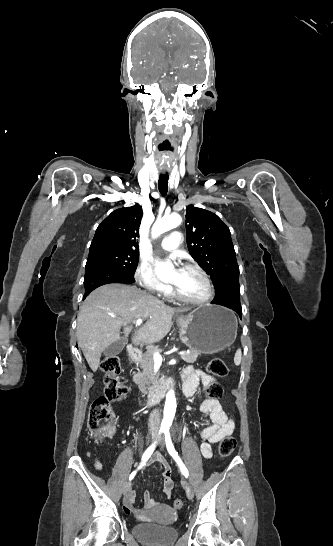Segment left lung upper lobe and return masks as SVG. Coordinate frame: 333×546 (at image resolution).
Masks as SVG:
<instances>
[{
	"label": "left lung upper lobe",
	"mask_w": 333,
	"mask_h": 546,
	"mask_svg": "<svg viewBox=\"0 0 333 546\" xmlns=\"http://www.w3.org/2000/svg\"><path fill=\"white\" fill-rule=\"evenodd\" d=\"M186 235L190 255L210 275L216 294L239 283V266L229 228L214 213L188 206Z\"/></svg>",
	"instance_id": "obj_1"
}]
</instances>
